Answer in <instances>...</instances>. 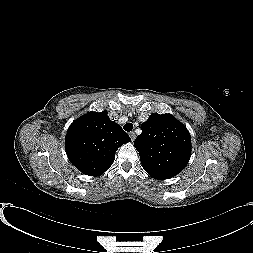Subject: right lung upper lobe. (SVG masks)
<instances>
[{"mask_svg": "<svg viewBox=\"0 0 253 253\" xmlns=\"http://www.w3.org/2000/svg\"><path fill=\"white\" fill-rule=\"evenodd\" d=\"M130 137L107 112H89L68 128L65 148L70 162L82 173L99 176L114 162L115 152Z\"/></svg>", "mask_w": 253, "mask_h": 253, "instance_id": "obj_1", "label": "right lung upper lobe"}]
</instances>
